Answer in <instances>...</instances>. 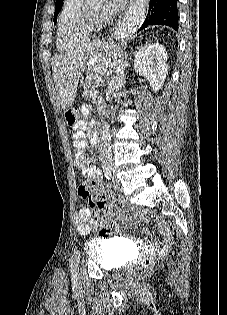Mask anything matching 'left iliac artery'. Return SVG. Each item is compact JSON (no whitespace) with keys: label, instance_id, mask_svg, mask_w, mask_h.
Instances as JSON below:
<instances>
[{"label":"left iliac artery","instance_id":"1","mask_svg":"<svg viewBox=\"0 0 227 315\" xmlns=\"http://www.w3.org/2000/svg\"><path fill=\"white\" fill-rule=\"evenodd\" d=\"M112 175H113V173L111 170H108L105 172V176L108 180L112 179ZM70 268H71L72 275H75L76 274V265H75V261L73 259L70 262Z\"/></svg>","mask_w":227,"mask_h":315}]
</instances>
